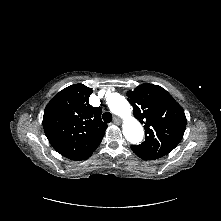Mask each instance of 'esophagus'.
Listing matches in <instances>:
<instances>
[{
	"label": "esophagus",
	"instance_id": "obj_1",
	"mask_svg": "<svg viewBox=\"0 0 221 221\" xmlns=\"http://www.w3.org/2000/svg\"><path fill=\"white\" fill-rule=\"evenodd\" d=\"M113 122L117 125H119L121 123V120L118 117H115Z\"/></svg>",
	"mask_w": 221,
	"mask_h": 221
}]
</instances>
